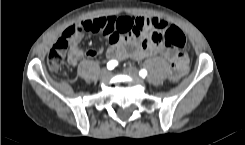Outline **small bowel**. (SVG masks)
Instances as JSON below:
<instances>
[{
	"instance_id": "obj_1",
	"label": "small bowel",
	"mask_w": 245,
	"mask_h": 145,
	"mask_svg": "<svg viewBox=\"0 0 245 145\" xmlns=\"http://www.w3.org/2000/svg\"><path fill=\"white\" fill-rule=\"evenodd\" d=\"M91 24L87 30L79 31L68 38L69 66H75L83 57H95L101 53L100 49L79 48L78 44L84 36L85 31L98 33L107 38L109 45L106 50L107 56L111 60L122 61L125 59L142 60L155 55L164 56L171 64L177 66V73L171 80L177 81L183 76L188 68L189 54L186 50L173 51L166 45H156L151 40L145 38L147 30L163 33L168 22L156 17L129 16V17H96L85 20L73 26H83L85 23ZM118 32L124 34L123 38L118 36ZM139 37L144 38L143 42Z\"/></svg>"
}]
</instances>
